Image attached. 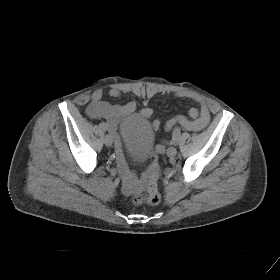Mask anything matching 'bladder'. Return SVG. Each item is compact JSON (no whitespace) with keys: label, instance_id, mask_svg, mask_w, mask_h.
<instances>
[{"label":"bladder","instance_id":"1","mask_svg":"<svg viewBox=\"0 0 280 280\" xmlns=\"http://www.w3.org/2000/svg\"><path fill=\"white\" fill-rule=\"evenodd\" d=\"M119 135L130 160L140 163L148 157L155 140L149 120L138 114L130 115L121 122Z\"/></svg>","mask_w":280,"mask_h":280}]
</instances>
